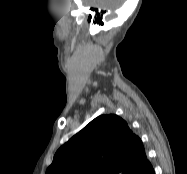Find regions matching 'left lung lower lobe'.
Masks as SVG:
<instances>
[{
    "label": "left lung lower lobe",
    "mask_w": 187,
    "mask_h": 174,
    "mask_svg": "<svg viewBox=\"0 0 187 174\" xmlns=\"http://www.w3.org/2000/svg\"><path fill=\"white\" fill-rule=\"evenodd\" d=\"M137 169H135L132 174H155L152 165L150 164L149 166L145 167L144 169L141 170V172H137Z\"/></svg>",
    "instance_id": "left-lung-lower-lobe-1"
}]
</instances>
